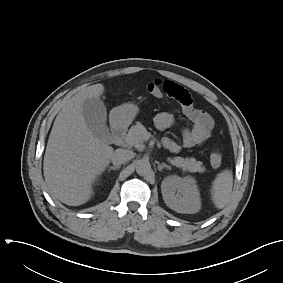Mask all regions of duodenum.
I'll list each match as a JSON object with an SVG mask.
<instances>
[{
    "label": "duodenum",
    "mask_w": 283,
    "mask_h": 283,
    "mask_svg": "<svg viewBox=\"0 0 283 283\" xmlns=\"http://www.w3.org/2000/svg\"><path fill=\"white\" fill-rule=\"evenodd\" d=\"M126 132L127 126L122 121H114L112 125V134L115 145L121 146L124 143Z\"/></svg>",
    "instance_id": "410a0bca"
}]
</instances>
